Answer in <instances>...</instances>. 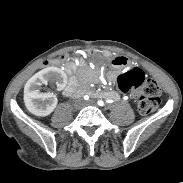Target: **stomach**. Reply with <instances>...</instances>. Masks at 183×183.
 Wrapping results in <instances>:
<instances>
[{"instance_id":"obj_1","label":"stomach","mask_w":183,"mask_h":183,"mask_svg":"<svg viewBox=\"0 0 183 183\" xmlns=\"http://www.w3.org/2000/svg\"><path fill=\"white\" fill-rule=\"evenodd\" d=\"M109 64L114 69H122L129 64V61L123 56H115L110 60Z\"/></svg>"}]
</instances>
